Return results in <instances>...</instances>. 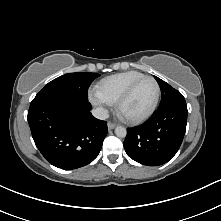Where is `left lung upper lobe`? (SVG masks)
Masks as SVG:
<instances>
[{
  "instance_id": "left-lung-upper-lobe-1",
  "label": "left lung upper lobe",
  "mask_w": 221,
  "mask_h": 221,
  "mask_svg": "<svg viewBox=\"0 0 221 221\" xmlns=\"http://www.w3.org/2000/svg\"><path fill=\"white\" fill-rule=\"evenodd\" d=\"M156 81L158 82L161 89V103L159 108L174 104L185 102L183 95L171 87L168 83L161 80L160 78L155 76Z\"/></svg>"
}]
</instances>
